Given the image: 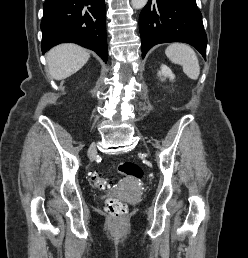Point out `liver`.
<instances>
[{
	"mask_svg": "<svg viewBox=\"0 0 248 258\" xmlns=\"http://www.w3.org/2000/svg\"><path fill=\"white\" fill-rule=\"evenodd\" d=\"M89 52L74 44H62L46 54L50 75L56 80L65 79L79 71L88 61Z\"/></svg>",
	"mask_w": 248,
	"mask_h": 258,
	"instance_id": "1",
	"label": "liver"
}]
</instances>
